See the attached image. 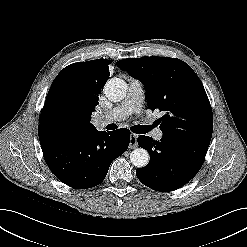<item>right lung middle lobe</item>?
<instances>
[{
    "label": "right lung middle lobe",
    "mask_w": 247,
    "mask_h": 247,
    "mask_svg": "<svg viewBox=\"0 0 247 247\" xmlns=\"http://www.w3.org/2000/svg\"><path fill=\"white\" fill-rule=\"evenodd\" d=\"M75 117V102L72 97L71 85L68 76L58 83L55 92L42 110L40 124L54 130L66 132Z\"/></svg>",
    "instance_id": "obj_1"
}]
</instances>
